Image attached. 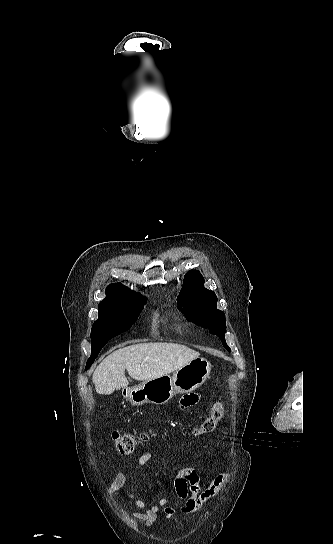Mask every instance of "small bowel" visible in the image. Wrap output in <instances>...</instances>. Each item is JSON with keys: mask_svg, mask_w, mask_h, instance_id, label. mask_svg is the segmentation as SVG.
Wrapping results in <instances>:
<instances>
[{"mask_svg": "<svg viewBox=\"0 0 333 544\" xmlns=\"http://www.w3.org/2000/svg\"><path fill=\"white\" fill-rule=\"evenodd\" d=\"M198 400V394L191 393L185 395L180 402V407L182 409L189 408L195 405ZM151 458L152 455L146 453L140 458L139 464L144 465L149 462ZM129 468L130 465H125L116 474L107 490L110 496L126 487ZM229 478V473H220L212 479L208 487L203 488L200 477L195 469L189 467L181 469L173 481L176 495L183 502L180 510L183 513H194L199 511L222 490ZM126 494L138 509V511L132 513V517L136 520L143 521L146 526H150L154 523L161 508H164L165 514L168 517L175 513L173 508L167 506L168 500L165 497L159 498L157 502L153 504L137 497L131 491H126Z\"/></svg>", "mask_w": 333, "mask_h": 544, "instance_id": "1", "label": "small bowel"}]
</instances>
